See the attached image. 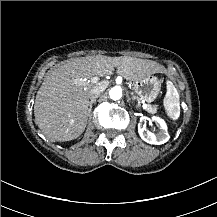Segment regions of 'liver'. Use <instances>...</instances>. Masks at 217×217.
<instances>
[{
    "instance_id": "6515ba94",
    "label": "liver",
    "mask_w": 217,
    "mask_h": 217,
    "mask_svg": "<svg viewBox=\"0 0 217 217\" xmlns=\"http://www.w3.org/2000/svg\"><path fill=\"white\" fill-rule=\"evenodd\" d=\"M115 67L118 74L131 81L166 71L155 61L129 56H88L57 65L46 73L34 105L35 123L51 141H70L83 133L89 91L94 86L89 80L110 75Z\"/></svg>"
}]
</instances>
